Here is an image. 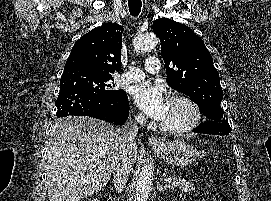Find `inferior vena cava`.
Here are the masks:
<instances>
[{
	"mask_svg": "<svg viewBox=\"0 0 271 201\" xmlns=\"http://www.w3.org/2000/svg\"><path fill=\"white\" fill-rule=\"evenodd\" d=\"M144 122L145 118L140 114L116 129L115 138L119 147L113 162V184L119 193L126 186L132 168V148L138 132V124L143 125Z\"/></svg>",
	"mask_w": 271,
	"mask_h": 201,
	"instance_id": "inferior-vena-cava-1",
	"label": "inferior vena cava"
}]
</instances>
